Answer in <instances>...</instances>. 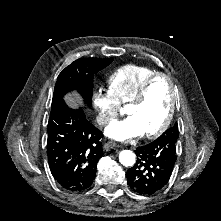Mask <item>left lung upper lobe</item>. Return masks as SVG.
I'll return each mask as SVG.
<instances>
[{
  "label": "left lung upper lobe",
  "mask_w": 221,
  "mask_h": 221,
  "mask_svg": "<svg viewBox=\"0 0 221 221\" xmlns=\"http://www.w3.org/2000/svg\"><path fill=\"white\" fill-rule=\"evenodd\" d=\"M161 136L177 140L179 136L177 123L172 128L166 130Z\"/></svg>",
  "instance_id": "1"
}]
</instances>
